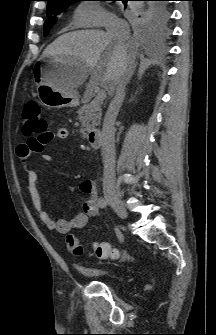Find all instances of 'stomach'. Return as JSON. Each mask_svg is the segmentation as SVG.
I'll use <instances>...</instances> for the list:
<instances>
[{"mask_svg":"<svg viewBox=\"0 0 216 335\" xmlns=\"http://www.w3.org/2000/svg\"><path fill=\"white\" fill-rule=\"evenodd\" d=\"M73 59L42 57L33 68L40 102L50 108L75 107L79 104L78 94L66 90L65 75L72 68Z\"/></svg>","mask_w":216,"mask_h":335,"instance_id":"obj_1","label":"stomach"}]
</instances>
